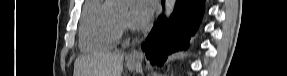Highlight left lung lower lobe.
I'll return each instance as SVG.
<instances>
[{"label": "left lung lower lobe", "mask_w": 287, "mask_h": 76, "mask_svg": "<svg viewBox=\"0 0 287 76\" xmlns=\"http://www.w3.org/2000/svg\"><path fill=\"white\" fill-rule=\"evenodd\" d=\"M164 4V0H161ZM204 12V0H177L174 12L166 21L160 17L157 22L158 31L153 27L151 33L142 44V49L146 51V57L153 63L158 61L162 65L167 59L168 54L186 50L189 46L191 36L195 34L197 27ZM156 32L158 40H156ZM162 46L159 49L161 58H158V52L153 55L155 44Z\"/></svg>", "instance_id": "0a47b994"}]
</instances>
